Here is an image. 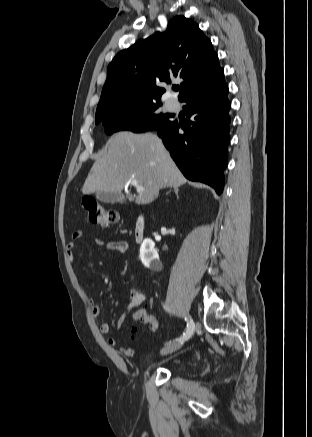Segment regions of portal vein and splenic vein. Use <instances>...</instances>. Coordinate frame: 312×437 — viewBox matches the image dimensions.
Returning a JSON list of instances; mask_svg holds the SVG:
<instances>
[{
  "instance_id": "obj_1",
  "label": "portal vein and splenic vein",
  "mask_w": 312,
  "mask_h": 437,
  "mask_svg": "<svg viewBox=\"0 0 312 437\" xmlns=\"http://www.w3.org/2000/svg\"><path fill=\"white\" fill-rule=\"evenodd\" d=\"M130 183H131V185L135 186L137 188V190H143L144 189L143 186H140L138 184L137 180H132V181H130Z\"/></svg>"
}]
</instances>
